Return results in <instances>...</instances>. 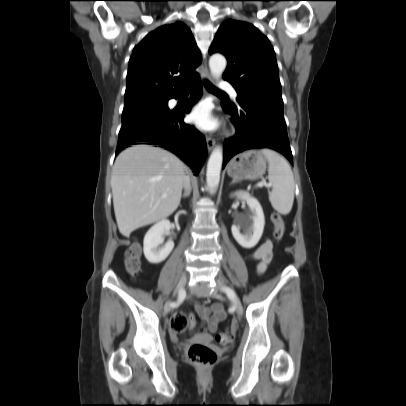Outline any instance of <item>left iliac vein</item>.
Listing matches in <instances>:
<instances>
[{"label": "left iliac vein", "instance_id": "left-iliac-vein-1", "mask_svg": "<svg viewBox=\"0 0 406 406\" xmlns=\"http://www.w3.org/2000/svg\"><path fill=\"white\" fill-rule=\"evenodd\" d=\"M217 287L219 289H221V290L224 289V288H228L226 285H224L222 283H218ZM229 299L231 300L232 306L235 309L237 315L239 317H241L243 315V306H242V303H241L240 299L235 294V292H233V294L231 296H229Z\"/></svg>", "mask_w": 406, "mask_h": 406}]
</instances>
